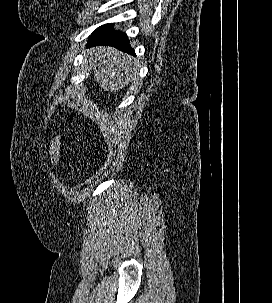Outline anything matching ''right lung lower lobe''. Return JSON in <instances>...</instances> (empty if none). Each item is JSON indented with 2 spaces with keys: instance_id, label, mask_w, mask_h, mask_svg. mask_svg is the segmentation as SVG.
I'll use <instances>...</instances> for the list:
<instances>
[{
  "instance_id": "1",
  "label": "right lung lower lobe",
  "mask_w": 272,
  "mask_h": 303,
  "mask_svg": "<svg viewBox=\"0 0 272 303\" xmlns=\"http://www.w3.org/2000/svg\"><path fill=\"white\" fill-rule=\"evenodd\" d=\"M98 45L112 46L123 52L135 55L134 49L129 45L126 34L113 30L111 25L98 28L90 36L87 47Z\"/></svg>"
}]
</instances>
